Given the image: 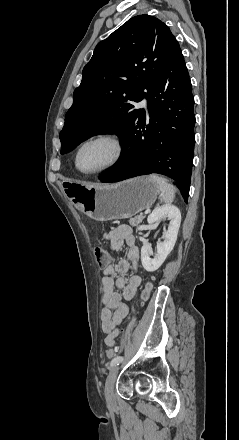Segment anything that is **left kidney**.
Returning <instances> with one entry per match:
<instances>
[{"instance_id":"1","label":"left kidney","mask_w":239,"mask_h":440,"mask_svg":"<svg viewBox=\"0 0 239 440\" xmlns=\"http://www.w3.org/2000/svg\"><path fill=\"white\" fill-rule=\"evenodd\" d=\"M162 218H168L170 224L167 232H163L165 238L164 242H158L157 244L155 256L150 258L152 254L151 246H149V244H144L141 248V262L146 272H156V270L162 266L168 254L172 252L177 240V234L181 224L179 208L172 206V204H164V206H160V208H155V210H153L152 214L148 216L147 222L153 226V224H156V222H159Z\"/></svg>"}]
</instances>
